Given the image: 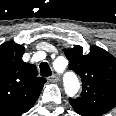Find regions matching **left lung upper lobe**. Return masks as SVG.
<instances>
[{
	"label": "left lung upper lobe",
	"instance_id": "5c2ea615",
	"mask_svg": "<svg viewBox=\"0 0 116 116\" xmlns=\"http://www.w3.org/2000/svg\"><path fill=\"white\" fill-rule=\"evenodd\" d=\"M69 68L80 75L82 93L77 99L69 98L77 113L98 112L104 114L116 106V58L104 49L91 46L85 54L75 45L65 49Z\"/></svg>",
	"mask_w": 116,
	"mask_h": 116
}]
</instances>
